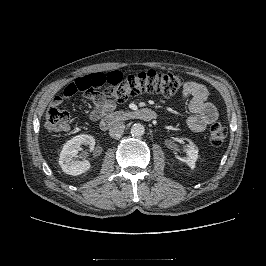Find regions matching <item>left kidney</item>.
Instances as JSON below:
<instances>
[{"label": "left kidney", "mask_w": 266, "mask_h": 266, "mask_svg": "<svg viewBox=\"0 0 266 266\" xmlns=\"http://www.w3.org/2000/svg\"><path fill=\"white\" fill-rule=\"evenodd\" d=\"M188 148L186 149V156L180 158V160L186 163L191 169L195 167V162L198 159V148L193 142H189Z\"/></svg>", "instance_id": "1"}]
</instances>
